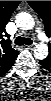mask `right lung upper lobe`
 I'll use <instances>...</instances> for the list:
<instances>
[{"instance_id": "cb5924a9", "label": "right lung upper lobe", "mask_w": 51, "mask_h": 101, "mask_svg": "<svg viewBox=\"0 0 51 101\" xmlns=\"http://www.w3.org/2000/svg\"><path fill=\"white\" fill-rule=\"evenodd\" d=\"M20 1H1L0 2V74L7 72L15 62L19 51L11 47L5 27L13 11L17 8Z\"/></svg>"}]
</instances>
